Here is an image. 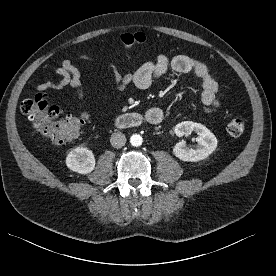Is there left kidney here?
Masks as SVG:
<instances>
[{
	"label": "left kidney",
	"mask_w": 276,
	"mask_h": 276,
	"mask_svg": "<svg viewBox=\"0 0 276 276\" xmlns=\"http://www.w3.org/2000/svg\"><path fill=\"white\" fill-rule=\"evenodd\" d=\"M175 134L182 137L185 134L195 132L198 137L196 138V147L189 148L184 141L178 142L174 148V155L182 161L197 162L207 158L217 147V138L215 135L204 125L191 121H184L175 126Z\"/></svg>",
	"instance_id": "obj_1"
}]
</instances>
